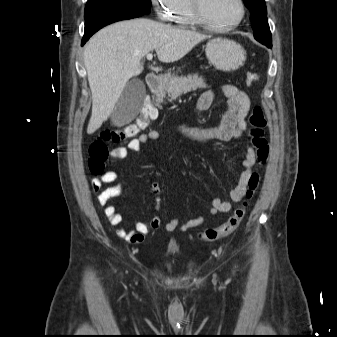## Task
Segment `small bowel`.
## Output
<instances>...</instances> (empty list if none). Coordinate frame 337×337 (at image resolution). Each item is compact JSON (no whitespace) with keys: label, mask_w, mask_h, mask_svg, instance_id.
<instances>
[{"label":"small bowel","mask_w":337,"mask_h":337,"mask_svg":"<svg viewBox=\"0 0 337 337\" xmlns=\"http://www.w3.org/2000/svg\"><path fill=\"white\" fill-rule=\"evenodd\" d=\"M221 92L227 99V108L224 112L221 122L211 127H194L187 123H180L175 133L178 137L185 140L209 144L214 142H227L241 137L242 133L247 129L246 117L250 111L251 105L248 96L234 85H224ZM214 92L206 90L200 94L195 103L196 111L208 110L213 102ZM160 134L156 130L142 133L131 139L125 146H115L109 151V157L112 160H121L125 158L128 151H139L143 144L149 141L158 140ZM256 163V152L253 147L249 146L243 157L241 172L235 187L230 192V200L226 201L221 198H213L208 214L215 216L219 213L229 212L232 208L231 202H239L246 194L248 180L252 174V168ZM118 180V174L115 171H106L102 175L94 178L91 187L94 192L98 193L97 202L104 208V213L108 222L112 226H119L123 222V216L118 212L117 208L112 204L111 199L124 191V185L119 184L103 188V185L112 184ZM150 191L153 195L158 196L161 186L157 182L150 185ZM160 209V202L157 200L156 210ZM205 221L203 216L192 218L181 224L178 217L171 219L165 224L167 232H173L176 229L187 231L201 226ZM161 219L159 215H154L148 222L136 221L133 228L121 226L117 230V235L125 240L138 244L144 241L145 237L151 232L159 229Z\"/></svg>","instance_id":"c3829d8e"}]
</instances>
